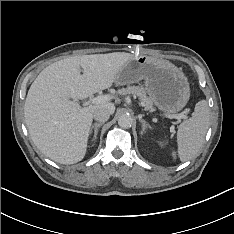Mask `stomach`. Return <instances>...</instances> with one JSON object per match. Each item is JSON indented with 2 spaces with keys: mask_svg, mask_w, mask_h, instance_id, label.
Listing matches in <instances>:
<instances>
[{
  "mask_svg": "<svg viewBox=\"0 0 234 234\" xmlns=\"http://www.w3.org/2000/svg\"><path fill=\"white\" fill-rule=\"evenodd\" d=\"M145 81L149 99L164 113L181 111L190 98L187 77L168 60L140 55L131 58L117 72L115 83L126 85Z\"/></svg>",
  "mask_w": 234,
  "mask_h": 234,
  "instance_id": "1",
  "label": "stomach"
}]
</instances>
